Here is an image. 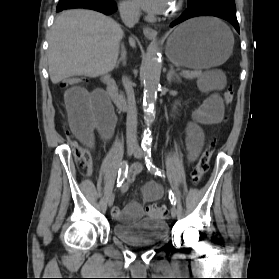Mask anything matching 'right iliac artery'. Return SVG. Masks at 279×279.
Here are the masks:
<instances>
[{
  "label": "right iliac artery",
  "mask_w": 279,
  "mask_h": 279,
  "mask_svg": "<svg viewBox=\"0 0 279 279\" xmlns=\"http://www.w3.org/2000/svg\"><path fill=\"white\" fill-rule=\"evenodd\" d=\"M127 170H128V164L127 162L124 161L121 164V168L119 169L118 172L117 187H120L124 182L125 178L127 177Z\"/></svg>",
  "instance_id": "1"
}]
</instances>
